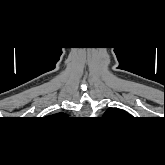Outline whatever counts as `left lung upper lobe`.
<instances>
[{
	"instance_id": "left-lung-upper-lobe-1",
	"label": "left lung upper lobe",
	"mask_w": 165,
	"mask_h": 165,
	"mask_svg": "<svg viewBox=\"0 0 165 165\" xmlns=\"http://www.w3.org/2000/svg\"><path fill=\"white\" fill-rule=\"evenodd\" d=\"M105 114L108 117L127 115V113L125 111L118 109V108H110L105 112Z\"/></svg>"
}]
</instances>
